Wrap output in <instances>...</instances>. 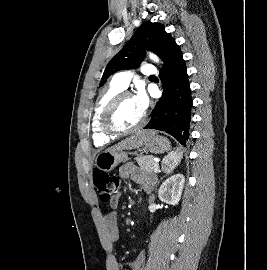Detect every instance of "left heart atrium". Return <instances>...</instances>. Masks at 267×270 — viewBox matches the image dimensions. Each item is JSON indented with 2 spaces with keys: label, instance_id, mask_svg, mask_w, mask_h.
Listing matches in <instances>:
<instances>
[{
  "label": "left heart atrium",
  "instance_id": "1",
  "mask_svg": "<svg viewBox=\"0 0 267 270\" xmlns=\"http://www.w3.org/2000/svg\"><path fill=\"white\" fill-rule=\"evenodd\" d=\"M134 100L137 106L139 107V109L142 112H145L149 104V98L143 88L138 89L136 95L134 96Z\"/></svg>",
  "mask_w": 267,
  "mask_h": 270
}]
</instances>
